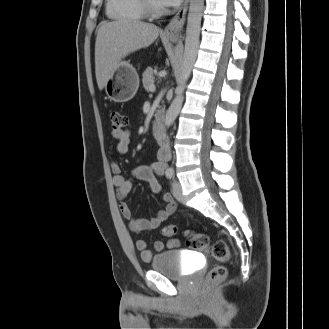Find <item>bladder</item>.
Masks as SVG:
<instances>
[{"label":"bladder","mask_w":329,"mask_h":329,"mask_svg":"<svg viewBox=\"0 0 329 329\" xmlns=\"http://www.w3.org/2000/svg\"><path fill=\"white\" fill-rule=\"evenodd\" d=\"M151 269L171 279H182L187 275L180 250H168L155 255Z\"/></svg>","instance_id":"1"}]
</instances>
